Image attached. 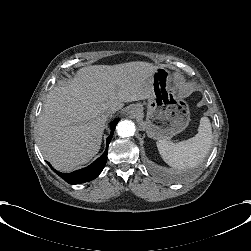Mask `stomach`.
I'll return each mask as SVG.
<instances>
[{
    "instance_id": "stomach-1",
    "label": "stomach",
    "mask_w": 251,
    "mask_h": 251,
    "mask_svg": "<svg viewBox=\"0 0 251 251\" xmlns=\"http://www.w3.org/2000/svg\"><path fill=\"white\" fill-rule=\"evenodd\" d=\"M152 95L147 98L145 121L144 105L132 114L141 122L146 135L154 140H166L184 131L191 120L189 104L177 95L175 74L157 66L152 73ZM132 105L129 110H132Z\"/></svg>"
}]
</instances>
